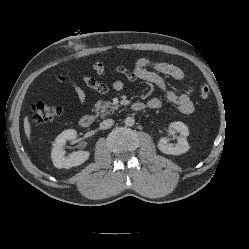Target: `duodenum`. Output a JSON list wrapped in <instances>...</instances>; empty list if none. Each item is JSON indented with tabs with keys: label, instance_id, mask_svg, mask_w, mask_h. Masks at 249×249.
I'll list each match as a JSON object with an SVG mask.
<instances>
[{
	"label": "duodenum",
	"instance_id": "410a0bca",
	"mask_svg": "<svg viewBox=\"0 0 249 249\" xmlns=\"http://www.w3.org/2000/svg\"><path fill=\"white\" fill-rule=\"evenodd\" d=\"M131 108L132 110L134 111H142L145 109V104L142 103V102H134L132 105H131ZM92 122H93V117L90 115V114H86V115H83L80 120H79V125L82 127V128H88L92 125Z\"/></svg>",
	"mask_w": 249,
	"mask_h": 249
}]
</instances>
